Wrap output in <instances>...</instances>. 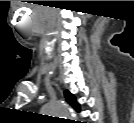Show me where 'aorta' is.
Masks as SVG:
<instances>
[{"instance_id": "obj_1", "label": "aorta", "mask_w": 134, "mask_h": 123, "mask_svg": "<svg viewBox=\"0 0 134 123\" xmlns=\"http://www.w3.org/2000/svg\"><path fill=\"white\" fill-rule=\"evenodd\" d=\"M43 115L74 118L75 112L68 106L61 103H48L42 108Z\"/></svg>"}]
</instances>
